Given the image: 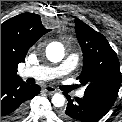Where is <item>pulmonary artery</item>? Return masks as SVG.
Returning <instances> with one entry per match:
<instances>
[{"mask_svg":"<svg viewBox=\"0 0 122 122\" xmlns=\"http://www.w3.org/2000/svg\"><path fill=\"white\" fill-rule=\"evenodd\" d=\"M79 55L72 53L58 67L34 66L27 67L21 71L23 77H33L38 80H51L59 76H63L71 72L78 64ZM77 95L84 96V92L80 90Z\"/></svg>","mask_w":122,"mask_h":122,"instance_id":"pulmonary-artery-1","label":"pulmonary artery"}]
</instances>
